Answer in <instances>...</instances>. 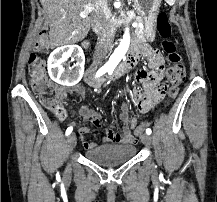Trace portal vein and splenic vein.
Returning a JSON list of instances; mask_svg holds the SVG:
<instances>
[{
	"label": "portal vein and splenic vein",
	"mask_w": 217,
	"mask_h": 202,
	"mask_svg": "<svg viewBox=\"0 0 217 202\" xmlns=\"http://www.w3.org/2000/svg\"><path fill=\"white\" fill-rule=\"evenodd\" d=\"M89 10H91V8H89ZM133 28H136V26H134V24H133Z\"/></svg>",
	"instance_id": "portal-vein-and-splenic-vein-1"
}]
</instances>
